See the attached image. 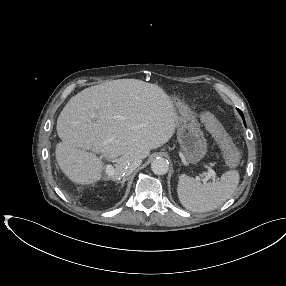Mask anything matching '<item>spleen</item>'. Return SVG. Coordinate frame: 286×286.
Segmentation results:
<instances>
[{"label":"spleen","instance_id":"3e777b00","mask_svg":"<svg viewBox=\"0 0 286 286\" xmlns=\"http://www.w3.org/2000/svg\"><path fill=\"white\" fill-rule=\"evenodd\" d=\"M239 179L237 170H229L220 180L205 184L181 174L177 186L178 198L186 209L193 212L212 211L222 206L232 196Z\"/></svg>","mask_w":286,"mask_h":286}]
</instances>
